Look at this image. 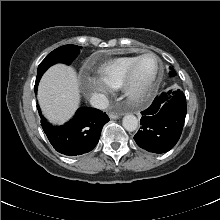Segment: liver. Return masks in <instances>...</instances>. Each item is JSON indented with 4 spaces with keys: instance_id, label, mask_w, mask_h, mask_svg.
I'll return each instance as SVG.
<instances>
[{
    "instance_id": "6515ba94",
    "label": "liver",
    "mask_w": 220,
    "mask_h": 220,
    "mask_svg": "<svg viewBox=\"0 0 220 220\" xmlns=\"http://www.w3.org/2000/svg\"><path fill=\"white\" fill-rule=\"evenodd\" d=\"M79 100V83L72 67L56 64L45 72L38 87V101L50 122L61 125L68 121Z\"/></svg>"
}]
</instances>
